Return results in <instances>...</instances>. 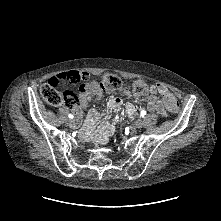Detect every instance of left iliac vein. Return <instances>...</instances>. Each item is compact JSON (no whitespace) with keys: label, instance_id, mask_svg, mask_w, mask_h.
<instances>
[{"label":"left iliac vein","instance_id":"1","mask_svg":"<svg viewBox=\"0 0 221 221\" xmlns=\"http://www.w3.org/2000/svg\"><path fill=\"white\" fill-rule=\"evenodd\" d=\"M142 127V122L140 119H137L133 124V129H140Z\"/></svg>","mask_w":221,"mask_h":221}]
</instances>
